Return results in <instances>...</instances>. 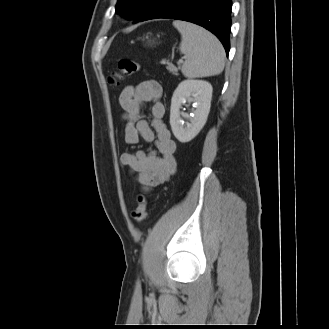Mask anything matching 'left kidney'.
I'll return each mask as SVG.
<instances>
[{
    "instance_id": "obj_1",
    "label": "left kidney",
    "mask_w": 329,
    "mask_h": 329,
    "mask_svg": "<svg viewBox=\"0 0 329 329\" xmlns=\"http://www.w3.org/2000/svg\"><path fill=\"white\" fill-rule=\"evenodd\" d=\"M212 85L204 80L182 81L173 93L170 109V125L174 136L182 143L191 141L203 128L210 111ZM184 101L194 102V116L183 125L180 108Z\"/></svg>"
}]
</instances>
